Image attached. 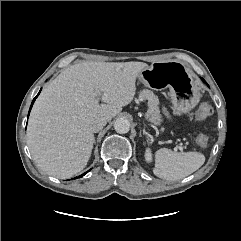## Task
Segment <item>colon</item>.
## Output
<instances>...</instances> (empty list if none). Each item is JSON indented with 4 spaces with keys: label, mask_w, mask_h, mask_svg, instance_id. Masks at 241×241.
Segmentation results:
<instances>
[{
    "label": "colon",
    "mask_w": 241,
    "mask_h": 241,
    "mask_svg": "<svg viewBox=\"0 0 241 241\" xmlns=\"http://www.w3.org/2000/svg\"><path fill=\"white\" fill-rule=\"evenodd\" d=\"M213 113V109L210 105L208 104H202L199 106L197 111L195 112V117L198 120H205L209 118ZM196 143L200 147H206L208 143V139L205 135H199L196 138Z\"/></svg>",
    "instance_id": "5ec220e1"
}]
</instances>
